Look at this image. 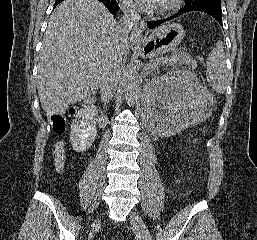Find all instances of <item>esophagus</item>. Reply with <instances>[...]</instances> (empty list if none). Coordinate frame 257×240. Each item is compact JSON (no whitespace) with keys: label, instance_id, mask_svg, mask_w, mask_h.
<instances>
[{"label":"esophagus","instance_id":"1","mask_svg":"<svg viewBox=\"0 0 257 240\" xmlns=\"http://www.w3.org/2000/svg\"><path fill=\"white\" fill-rule=\"evenodd\" d=\"M144 28H145V23L142 20L135 24L130 35V41L133 44H137L141 41Z\"/></svg>","mask_w":257,"mask_h":240}]
</instances>
